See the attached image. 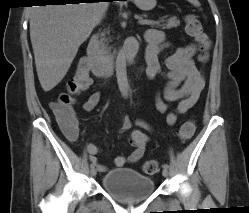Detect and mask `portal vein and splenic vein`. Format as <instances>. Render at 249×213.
<instances>
[{
    "mask_svg": "<svg viewBox=\"0 0 249 213\" xmlns=\"http://www.w3.org/2000/svg\"><path fill=\"white\" fill-rule=\"evenodd\" d=\"M154 21L152 20H149V19H141L139 21L140 24H148V25H151Z\"/></svg>",
    "mask_w": 249,
    "mask_h": 213,
    "instance_id": "1",
    "label": "portal vein and splenic vein"
}]
</instances>
